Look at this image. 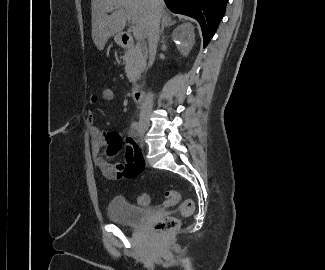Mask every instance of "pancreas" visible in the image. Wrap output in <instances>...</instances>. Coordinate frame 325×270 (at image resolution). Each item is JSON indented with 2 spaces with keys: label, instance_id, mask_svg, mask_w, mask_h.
I'll list each match as a JSON object with an SVG mask.
<instances>
[{
  "label": "pancreas",
  "instance_id": "obj_1",
  "mask_svg": "<svg viewBox=\"0 0 325 270\" xmlns=\"http://www.w3.org/2000/svg\"><path fill=\"white\" fill-rule=\"evenodd\" d=\"M147 53L141 44L129 48L124 55L127 77L131 83H136L146 69Z\"/></svg>",
  "mask_w": 325,
  "mask_h": 270
}]
</instances>
